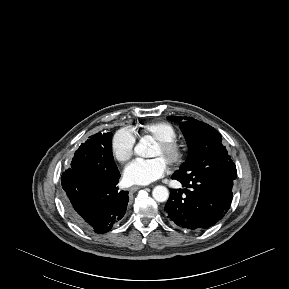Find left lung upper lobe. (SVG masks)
<instances>
[{"label":"left lung upper lobe","mask_w":289,"mask_h":289,"mask_svg":"<svg viewBox=\"0 0 289 289\" xmlns=\"http://www.w3.org/2000/svg\"><path fill=\"white\" fill-rule=\"evenodd\" d=\"M167 118L172 122H181L180 128L189 147L187 160L174 174L186 181L208 178L233 187L237 170L221 143L220 133L210 125L192 117Z\"/></svg>","instance_id":"1"}]
</instances>
